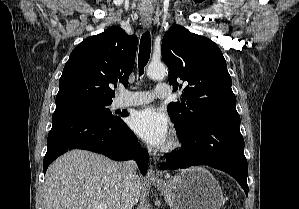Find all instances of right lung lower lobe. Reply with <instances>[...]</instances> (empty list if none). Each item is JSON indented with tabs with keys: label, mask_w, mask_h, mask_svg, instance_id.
<instances>
[{
	"label": "right lung lower lobe",
	"mask_w": 299,
	"mask_h": 209,
	"mask_svg": "<svg viewBox=\"0 0 299 209\" xmlns=\"http://www.w3.org/2000/svg\"><path fill=\"white\" fill-rule=\"evenodd\" d=\"M47 139L43 171L61 154L72 149L101 153L117 161L134 158L142 173L147 172L148 152L137 145L136 136L119 117L115 123L71 108H56Z\"/></svg>",
	"instance_id": "obj_1"
}]
</instances>
